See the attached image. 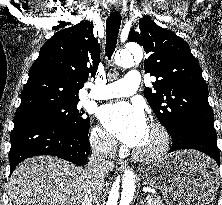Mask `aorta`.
Returning a JSON list of instances; mask_svg holds the SVG:
<instances>
[{
  "instance_id": "aorta-1",
  "label": "aorta",
  "mask_w": 222,
  "mask_h": 205,
  "mask_svg": "<svg viewBox=\"0 0 222 205\" xmlns=\"http://www.w3.org/2000/svg\"><path fill=\"white\" fill-rule=\"evenodd\" d=\"M133 54L137 57L134 59ZM143 57L142 49L138 45H128L120 51L116 63L123 68H130ZM137 188V176L132 169H127L120 181L113 183L106 205H129L135 196Z\"/></svg>"
}]
</instances>
